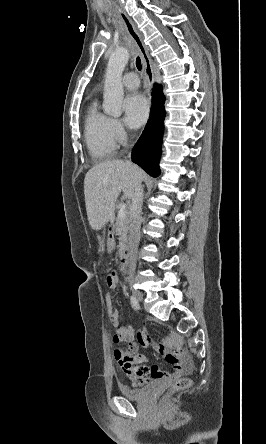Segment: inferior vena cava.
<instances>
[{"instance_id":"602c4592","label":"inferior vena cava","mask_w":266,"mask_h":444,"mask_svg":"<svg viewBox=\"0 0 266 444\" xmlns=\"http://www.w3.org/2000/svg\"><path fill=\"white\" fill-rule=\"evenodd\" d=\"M142 205H143V187L141 185V181H139L135 187V191L132 196V205L130 210V236H129L130 270H134L136 267V254H137L138 244L140 241Z\"/></svg>"}]
</instances>
